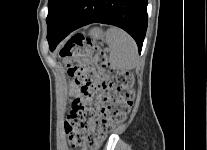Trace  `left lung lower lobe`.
I'll return each instance as SVG.
<instances>
[{"label": "left lung lower lobe", "instance_id": "1", "mask_svg": "<svg viewBox=\"0 0 207 150\" xmlns=\"http://www.w3.org/2000/svg\"><path fill=\"white\" fill-rule=\"evenodd\" d=\"M96 22L124 29L135 39L140 53L147 29V0H69L48 30L51 51L70 32Z\"/></svg>", "mask_w": 207, "mask_h": 150}]
</instances>
